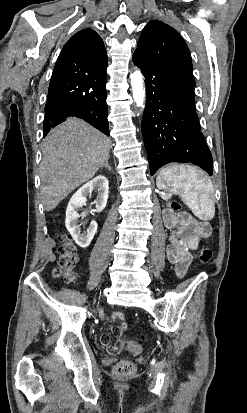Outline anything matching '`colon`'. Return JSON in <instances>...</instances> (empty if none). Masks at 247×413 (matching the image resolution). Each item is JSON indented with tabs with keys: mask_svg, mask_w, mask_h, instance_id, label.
Masks as SVG:
<instances>
[{
	"mask_svg": "<svg viewBox=\"0 0 247 413\" xmlns=\"http://www.w3.org/2000/svg\"><path fill=\"white\" fill-rule=\"evenodd\" d=\"M167 204H171L173 210H180V204L176 200H169ZM59 242L61 246L59 247L60 259L58 261L57 267L53 269V276L66 283H72L76 280L77 276L72 271L73 267L76 265L78 260V254L76 248L71 242V238L66 233H61L58 235ZM213 252L208 247H202L199 250V259L203 262V266H209ZM184 263V262H181ZM145 335L140 333L138 335V341H144ZM133 346V355H138L141 352L140 346L136 345L135 338L133 336H128L124 345ZM126 354L130 353L129 349L125 350ZM116 372L119 374V378L124 380L126 376H133L136 373V366L130 361H121L116 366Z\"/></svg>",
	"mask_w": 247,
	"mask_h": 413,
	"instance_id": "5ec220e1",
	"label": "colon"
}]
</instances>
